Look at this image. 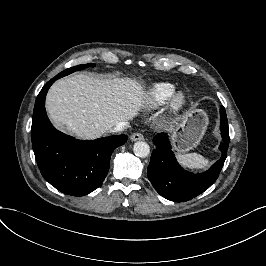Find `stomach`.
Instances as JSON below:
<instances>
[{
	"mask_svg": "<svg viewBox=\"0 0 266 266\" xmlns=\"http://www.w3.org/2000/svg\"><path fill=\"white\" fill-rule=\"evenodd\" d=\"M209 124L208 114L203 109L186 113L181 124L172 134V143L179 152H187L199 145Z\"/></svg>",
	"mask_w": 266,
	"mask_h": 266,
	"instance_id": "0dacf381",
	"label": "stomach"
}]
</instances>
